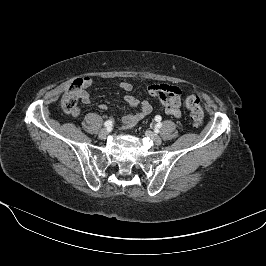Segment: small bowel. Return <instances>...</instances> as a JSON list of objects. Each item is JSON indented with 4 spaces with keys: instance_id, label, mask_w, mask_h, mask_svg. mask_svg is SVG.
Returning <instances> with one entry per match:
<instances>
[{
    "instance_id": "c3829d8e",
    "label": "small bowel",
    "mask_w": 266,
    "mask_h": 266,
    "mask_svg": "<svg viewBox=\"0 0 266 266\" xmlns=\"http://www.w3.org/2000/svg\"><path fill=\"white\" fill-rule=\"evenodd\" d=\"M81 86L79 91V98L84 104L90 103V94L88 89L92 86V79L89 77H84L79 79ZM120 88L123 91L130 92L132 90V84L129 82H121L119 84ZM148 93L151 96L158 97L162 103L163 110L166 114L172 115L174 117L181 116V105H182V94L183 91L180 87L169 84H153L148 87ZM125 103L130 108H136L140 106V110L128 114L123 117V127L131 128L136 123H138L141 119L152 112V106L148 101L140 102L133 95H126L124 97ZM101 109H106L104 104L100 105ZM81 114V109L78 107L76 111L72 113L74 116H78Z\"/></svg>"
}]
</instances>
